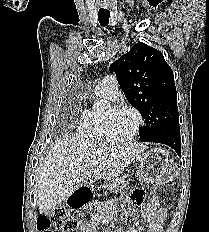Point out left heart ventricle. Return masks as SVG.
Segmentation results:
<instances>
[{
  "mask_svg": "<svg viewBox=\"0 0 209 232\" xmlns=\"http://www.w3.org/2000/svg\"><path fill=\"white\" fill-rule=\"evenodd\" d=\"M136 125L134 114L127 110L113 112L110 116V129L113 135L124 137L130 134Z\"/></svg>",
  "mask_w": 209,
  "mask_h": 232,
  "instance_id": "1",
  "label": "left heart ventricle"
}]
</instances>
